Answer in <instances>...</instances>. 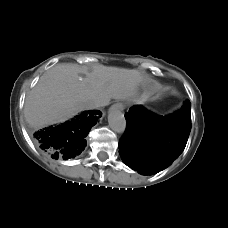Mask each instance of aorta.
I'll return each instance as SVG.
<instances>
[{
	"mask_svg": "<svg viewBox=\"0 0 228 228\" xmlns=\"http://www.w3.org/2000/svg\"><path fill=\"white\" fill-rule=\"evenodd\" d=\"M108 123L114 132L123 133L126 129L124 114L118 108L112 107L109 110Z\"/></svg>",
	"mask_w": 228,
	"mask_h": 228,
	"instance_id": "aorta-1",
	"label": "aorta"
}]
</instances>
